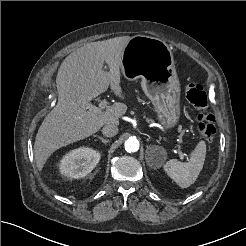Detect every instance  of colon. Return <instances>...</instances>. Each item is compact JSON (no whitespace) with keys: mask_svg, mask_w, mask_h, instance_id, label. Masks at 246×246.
Here are the masks:
<instances>
[{"mask_svg":"<svg viewBox=\"0 0 246 246\" xmlns=\"http://www.w3.org/2000/svg\"><path fill=\"white\" fill-rule=\"evenodd\" d=\"M188 101L199 111L197 116V130L200 136L211 140L216 132L214 117L208 111V97L203 85L189 82L185 85Z\"/></svg>","mask_w":246,"mask_h":246,"instance_id":"obj_1","label":"colon"}]
</instances>
